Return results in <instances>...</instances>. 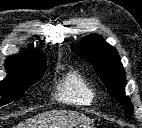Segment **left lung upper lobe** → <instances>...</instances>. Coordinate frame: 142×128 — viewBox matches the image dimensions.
<instances>
[{"mask_svg": "<svg viewBox=\"0 0 142 128\" xmlns=\"http://www.w3.org/2000/svg\"><path fill=\"white\" fill-rule=\"evenodd\" d=\"M72 51L92 63L109 93L120 102L126 111V117H130L133 106L129 97L125 96V71L117 50L107 44L101 36L89 35L73 45Z\"/></svg>", "mask_w": 142, "mask_h": 128, "instance_id": "left-lung-upper-lobe-1", "label": "left lung upper lobe"}]
</instances>
